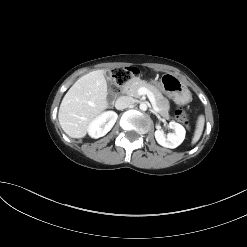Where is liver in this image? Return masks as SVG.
I'll return each instance as SVG.
<instances>
[{
  "label": "liver",
  "mask_w": 247,
  "mask_h": 247,
  "mask_svg": "<svg viewBox=\"0 0 247 247\" xmlns=\"http://www.w3.org/2000/svg\"><path fill=\"white\" fill-rule=\"evenodd\" d=\"M104 72L96 70L82 76L65 94L58 119L69 137H85L90 122L108 107Z\"/></svg>",
  "instance_id": "1"
}]
</instances>
